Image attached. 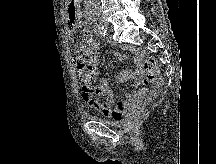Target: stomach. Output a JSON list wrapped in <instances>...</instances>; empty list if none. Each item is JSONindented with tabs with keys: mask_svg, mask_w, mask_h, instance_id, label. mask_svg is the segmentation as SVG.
I'll list each match as a JSON object with an SVG mask.
<instances>
[{
	"mask_svg": "<svg viewBox=\"0 0 216 164\" xmlns=\"http://www.w3.org/2000/svg\"><path fill=\"white\" fill-rule=\"evenodd\" d=\"M66 14H69L70 16L74 14H79V9H74L73 7H70L69 9H66Z\"/></svg>",
	"mask_w": 216,
	"mask_h": 164,
	"instance_id": "obj_1",
	"label": "stomach"
}]
</instances>
